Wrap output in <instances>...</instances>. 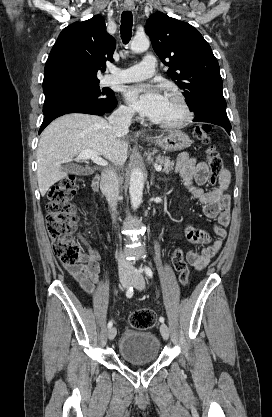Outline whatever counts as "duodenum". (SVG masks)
Masks as SVG:
<instances>
[{
  "mask_svg": "<svg viewBox=\"0 0 272 417\" xmlns=\"http://www.w3.org/2000/svg\"><path fill=\"white\" fill-rule=\"evenodd\" d=\"M100 181H101V179H100V176H95V178H94V180H93V189L94 190H96V191H98L99 190V187H100Z\"/></svg>",
  "mask_w": 272,
  "mask_h": 417,
  "instance_id": "obj_1",
  "label": "duodenum"
}]
</instances>
